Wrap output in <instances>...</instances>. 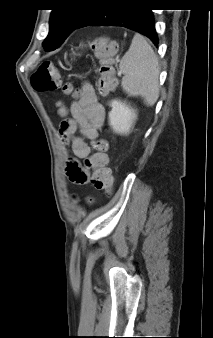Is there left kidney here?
<instances>
[{
  "label": "left kidney",
  "instance_id": "left-kidney-1",
  "mask_svg": "<svg viewBox=\"0 0 213 338\" xmlns=\"http://www.w3.org/2000/svg\"><path fill=\"white\" fill-rule=\"evenodd\" d=\"M112 110L109 112V125L115 133L127 134L130 132L136 118V111L127 103L118 99L111 102Z\"/></svg>",
  "mask_w": 213,
  "mask_h": 338
}]
</instances>
